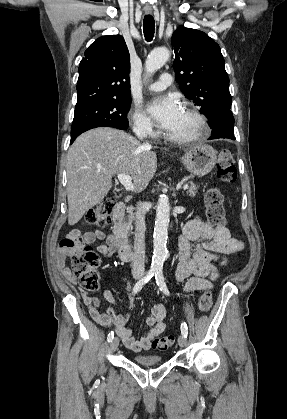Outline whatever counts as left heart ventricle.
Segmentation results:
<instances>
[{
  "instance_id": "obj_1",
  "label": "left heart ventricle",
  "mask_w": 287,
  "mask_h": 419,
  "mask_svg": "<svg viewBox=\"0 0 287 419\" xmlns=\"http://www.w3.org/2000/svg\"><path fill=\"white\" fill-rule=\"evenodd\" d=\"M197 129L196 120L185 110H182L177 122L168 130V133L175 136H187L196 132Z\"/></svg>"
}]
</instances>
